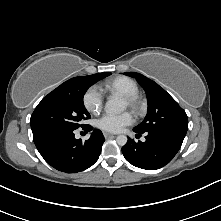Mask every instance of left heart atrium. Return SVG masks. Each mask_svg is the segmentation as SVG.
<instances>
[{"instance_id": "left-heart-atrium-1", "label": "left heart atrium", "mask_w": 221, "mask_h": 221, "mask_svg": "<svg viewBox=\"0 0 221 221\" xmlns=\"http://www.w3.org/2000/svg\"><path fill=\"white\" fill-rule=\"evenodd\" d=\"M132 123L133 116L129 112L120 114L106 113L97 121V125L100 129L113 133L120 132Z\"/></svg>"}]
</instances>
